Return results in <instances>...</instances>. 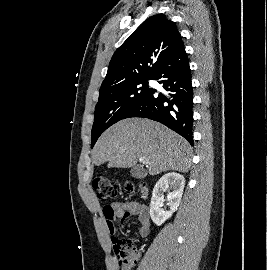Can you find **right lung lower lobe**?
Wrapping results in <instances>:
<instances>
[{"instance_id":"obj_1","label":"right lung lower lobe","mask_w":267,"mask_h":270,"mask_svg":"<svg viewBox=\"0 0 267 270\" xmlns=\"http://www.w3.org/2000/svg\"><path fill=\"white\" fill-rule=\"evenodd\" d=\"M166 90L156 96L149 88L145 96L123 118L143 117L158 121L193 145V91L191 70L183 43L174 49L150 77Z\"/></svg>"}]
</instances>
